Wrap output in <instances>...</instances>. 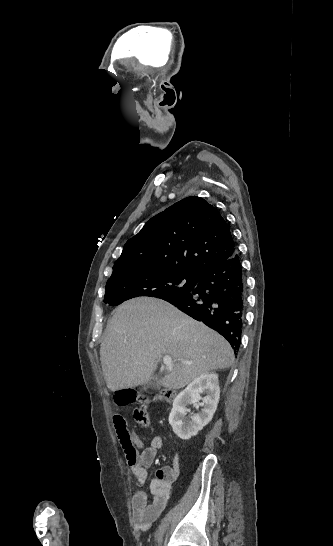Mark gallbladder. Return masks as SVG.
I'll return each instance as SVG.
<instances>
[{"mask_svg": "<svg viewBox=\"0 0 333 546\" xmlns=\"http://www.w3.org/2000/svg\"><path fill=\"white\" fill-rule=\"evenodd\" d=\"M160 388V380L158 377H152L145 385L144 389L146 391H155Z\"/></svg>", "mask_w": 333, "mask_h": 546, "instance_id": "gallbladder-1", "label": "gallbladder"}]
</instances>
